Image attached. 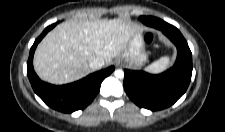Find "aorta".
I'll use <instances>...</instances> for the list:
<instances>
[{
    "mask_svg": "<svg viewBox=\"0 0 225 132\" xmlns=\"http://www.w3.org/2000/svg\"><path fill=\"white\" fill-rule=\"evenodd\" d=\"M114 76L117 78V79H122L124 78V71L122 69H116L114 71Z\"/></svg>",
    "mask_w": 225,
    "mask_h": 132,
    "instance_id": "1",
    "label": "aorta"
}]
</instances>
